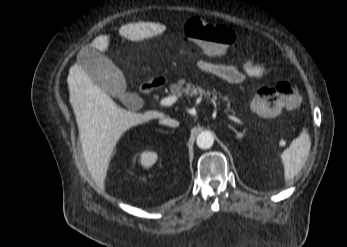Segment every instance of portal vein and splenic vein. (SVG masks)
<instances>
[{
	"label": "portal vein and splenic vein",
	"mask_w": 347,
	"mask_h": 247,
	"mask_svg": "<svg viewBox=\"0 0 347 247\" xmlns=\"http://www.w3.org/2000/svg\"><path fill=\"white\" fill-rule=\"evenodd\" d=\"M177 100H178V96L170 95V96H167V97L161 99L160 104L162 106H171V105L175 104L177 102ZM239 122H240V124H244L243 121H239Z\"/></svg>",
	"instance_id": "portal-vein-and-splenic-vein-1"
}]
</instances>
